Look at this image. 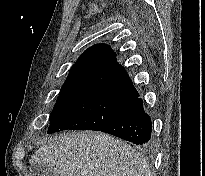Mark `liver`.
Listing matches in <instances>:
<instances>
[{
  "instance_id": "obj_1",
  "label": "liver",
  "mask_w": 205,
  "mask_h": 176,
  "mask_svg": "<svg viewBox=\"0 0 205 176\" xmlns=\"http://www.w3.org/2000/svg\"><path fill=\"white\" fill-rule=\"evenodd\" d=\"M53 176H151L145 158L126 142L101 132H69L53 137L31 156Z\"/></svg>"
}]
</instances>
